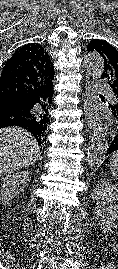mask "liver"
Segmentation results:
<instances>
[{"label":"liver","instance_id":"6515ba94","mask_svg":"<svg viewBox=\"0 0 118 269\" xmlns=\"http://www.w3.org/2000/svg\"><path fill=\"white\" fill-rule=\"evenodd\" d=\"M39 146L34 136L18 127L0 129V176L36 163Z\"/></svg>","mask_w":118,"mask_h":269}]
</instances>
